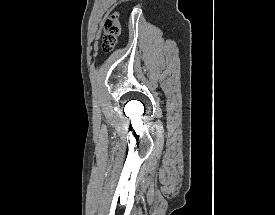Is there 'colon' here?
Instances as JSON below:
<instances>
[{
  "label": "colon",
  "mask_w": 275,
  "mask_h": 215,
  "mask_svg": "<svg viewBox=\"0 0 275 215\" xmlns=\"http://www.w3.org/2000/svg\"><path fill=\"white\" fill-rule=\"evenodd\" d=\"M120 35V25L117 13H112L104 23L102 36V50L105 53L112 51Z\"/></svg>",
  "instance_id": "5ec220e1"
}]
</instances>
